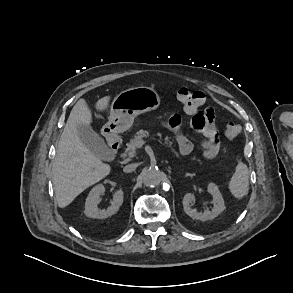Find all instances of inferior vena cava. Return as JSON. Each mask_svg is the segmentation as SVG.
I'll return each mask as SVG.
<instances>
[{
	"mask_svg": "<svg viewBox=\"0 0 293 293\" xmlns=\"http://www.w3.org/2000/svg\"><path fill=\"white\" fill-rule=\"evenodd\" d=\"M137 164L134 163V164H129V165H126L124 168H123V171L125 173H130V172H133L136 168H137Z\"/></svg>",
	"mask_w": 293,
	"mask_h": 293,
	"instance_id": "602c4592",
	"label": "inferior vena cava"
}]
</instances>
